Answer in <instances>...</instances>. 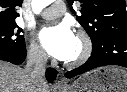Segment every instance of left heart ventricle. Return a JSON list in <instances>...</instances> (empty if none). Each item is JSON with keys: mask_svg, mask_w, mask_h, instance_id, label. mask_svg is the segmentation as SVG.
Wrapping results in <instances>:
<instances>
[{"mask_svg": "<svg viewBox=\"0 0 127 92\" xmlns=\"http://www.w3.org/2000/svg\"><path fill=\"white\" fill-rule=\"evenodd\" d=\"M80 51H81V44H80L79 40L76 38L73 53L67 60H71V59L75 58L80 53Z\"/></svg>", "mask_w": 127, "mask_h": 92, "instance_id": "1", "label": "left heart ventricle"}]
</instances>
